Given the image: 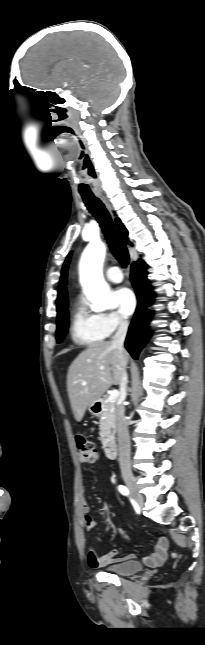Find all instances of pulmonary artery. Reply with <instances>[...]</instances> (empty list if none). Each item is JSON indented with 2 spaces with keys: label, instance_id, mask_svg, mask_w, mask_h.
<instances>
[{
  "label": "pulmonary artery",
  "instance_id": "1",
  "mask_svg": "<svg viewBox=\"0 0 205 645\" xmlns=\"http://www.w3.org/2000/svg\"><path fill=\"white\" fill-rule=\"evenodd\" d=\"M106 276L111 282L114 283H120L123 280V274L121 270L116 266L110 267L106 271Z\"/></svg>",
  "mask_w": 205,
  "mask_h": 645
}]
</instances>
